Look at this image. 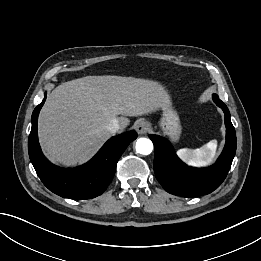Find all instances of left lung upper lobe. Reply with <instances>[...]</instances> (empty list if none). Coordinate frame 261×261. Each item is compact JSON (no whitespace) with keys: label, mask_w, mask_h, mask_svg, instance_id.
<instances>
[{"label":"left lung upper lobe","mask_w":261,"mask_h":261,"mask_svg":"<svg viewBox=\"0 0 261 261\" xmlns=\"http://www.w3.org/2000/svg\"><path fill=\"white\" fill-rule=\"evenodd\" d=\"M213 100L216 101V100H220V99L216 94H213Z\"/></svg>","instance_id":"1"}]
</instances>
